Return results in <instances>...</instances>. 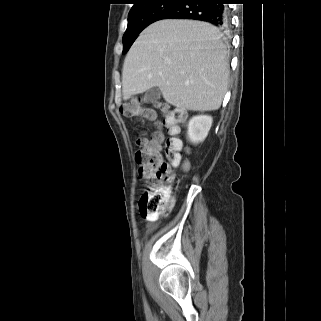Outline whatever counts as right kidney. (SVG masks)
<instances>
[{
	"label": "right kidney",
	"instance_id": "1",
	"mask_svg": "<svg viewBox=\"0 0 321 321\" xmlns=\"http://www.w3.org/2000/svg\"><path fill=\"white\" fill-rule=\"evenodd\" d=\"M213 119L209 115H197L188 122L187 136L189 140L197 144L202 142L208 135Z\"/></svg>",
	"mask_w": 321,
	"mask_h": 321
}]
</instances>
